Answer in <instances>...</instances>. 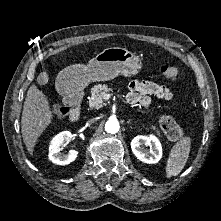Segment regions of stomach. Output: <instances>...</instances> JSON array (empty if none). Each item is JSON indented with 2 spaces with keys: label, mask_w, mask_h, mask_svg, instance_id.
Returning a JSON list of instances; mask_svg holds the SVG:
<instances>
[{
  "label": "stomach",
  "mask_w": 221,
  "mask_h": 221,
  "mask_svg": "<svg viewBox=\"0 0 221 221\" xmlns=\"http://www.w3.org/2000/svg\"><path fill=\"white\" fill-rule=\"evenodd\" d=\"M142 68L139 56L126 48L110 47L92 58L87 65L66 67L58 75V81L69 91L85 88L90 82L112 80L122 75L134 76Z\"/></svg>",
  "instance_id": "0dacf381"
}]
</instances>
